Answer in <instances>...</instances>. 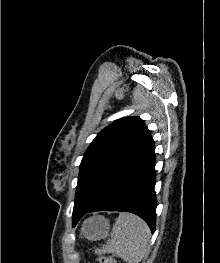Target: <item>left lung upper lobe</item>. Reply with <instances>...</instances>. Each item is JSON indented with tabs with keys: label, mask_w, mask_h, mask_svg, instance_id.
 I'll return each instance as SVG.
<instances>
[{
	"label": "left lung upper lobe",
	"mask_w": 220,
	"mask_h": 263,
	"mask_svg": "<svg viewBox=\"0 0 220 263\" xmlns=\"http://www.w3.org/2000/svg\"><path fill=\"white\" fill-rule=\"evenodd\" d=\"M154 144L139 117H125L104 128L84 154L74 210H85Z\"/></svg>",
	"instance_id": "1"
}]
</instances>
